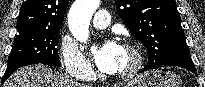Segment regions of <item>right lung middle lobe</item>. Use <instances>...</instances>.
I'll return each mask as SVG.
<instances>
[{
  "label": "right lung middle lobe",
  "instance_id": "1",
  "mask_svg": "<svg viewBox=\"0 0 205 87\" xmlns=\"http://www.w3.org/2000/svg\"><path fill=\"white\" fill-rule=\"evenodd\" d=\"M60 29L20 31L16 37L8 62L32 60L48 66H60L58 44Z\"/></svg>",
  "mask_w": 205,
  "mask_h": 87
}]
</instances>
